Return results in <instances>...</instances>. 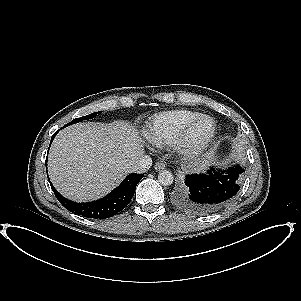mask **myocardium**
<instances>
[{
  "instance_id": "myocardium-1",
  "label": "myocardium",
  "mask_w": 301,
  "mask_h": 301,
  "mask_svg": "<svg viewBox=\"0 0 301 301\" xmlns=\"http://www.w3.org/2000/svg\"><path fill=\"white\" fill-rule=\"evenodd\" d=\"M201 121H209L211 124V129L208 135L201 140H193L191 138V133L195 126ZM216 122L208 115L201 114L187 124L176 139L173 141L172 146L177 154L180 156L192 159L201 155L210 145L216 134Z\"/></svg>"
}]
</instances>
